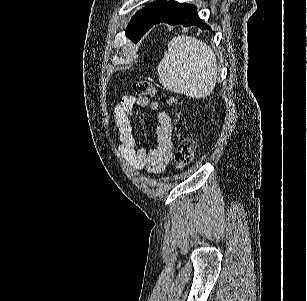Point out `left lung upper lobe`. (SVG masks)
Listing matches in <instances>:
<instances>
[{
	"label": "left lung upper lobe",
	"instance_id": "1",
	"mask_svg": "<svg viewBox=\"0 0 307 301\" xmlns=\"http://www.w3.org/2000/svg\"><path fill=\"white\" fill-rule=\"evenodd\" d=\"M177 2H164L160 0L148 4L145 8L137 12L131 19L126 29V36L134 43H137L141 37L150 29L152 24L168 9Z\"/></svg>",
	"mask_w": 307,
	"mask_h": 301
}]
</instances>
